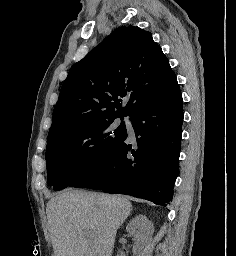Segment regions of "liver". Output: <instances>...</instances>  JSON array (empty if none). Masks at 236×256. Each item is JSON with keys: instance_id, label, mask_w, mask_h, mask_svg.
Listing matches in <instances>:
<instances>
[{"instance_id": "liver-1", "label": "liver", "mask_w": 236, "mask_h": 256, "mask_svg": "<svg viewBox=\"0 0 236 256\" xmlns=\"http://www.w3.org/2000/svg\"><path fill=\"white\" fill-rule=\"evenodd\" d=\"M131 210L121 196L81 190L53 196L46 214L55 256H112L117 230Z\"/></svg>"}]
</instances>
